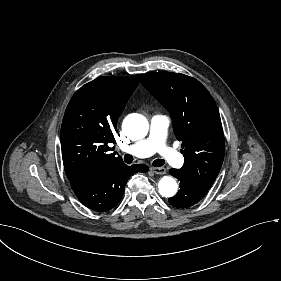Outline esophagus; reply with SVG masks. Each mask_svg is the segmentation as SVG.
<instances>
[{"instance_id": "esophagus-1", "label": "esophagus", "mask_w": 281, "mask_h": 281, "mask_svg": "<svg viewBox=\"0 0 281 281\" xmlns=\"http://www.w3.org/2000/svg\"><path fill=\"white\" fill-rule=\"evenodd\" d=\"M151 171L155 174H160V175L166 174V168L164 167H152Z\"/></svg>"}]
</instances>
